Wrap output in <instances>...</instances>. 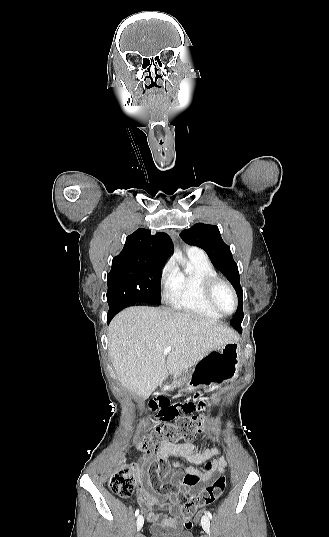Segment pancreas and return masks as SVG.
<instances>
[{
    "instance_id": "pancreas-1",
    "label": "pancreas",
    "mask_w": 329,
    "mask_h": 537,
    "mask_svg": "<svg viewBox=\"0 0 329 537\" xmlns=\"http://www.w3.org/2000/svg\"><path fill=\"white\" fill-rule=\"evenodd\" d=\"M179 376H180V381H178L177 384L180 385V384L182 383V381H183V380L185 379V377H186V371L181 372ZM179 376L176 375L175 377H179Z\"/></svg>"
}]
</instances>
